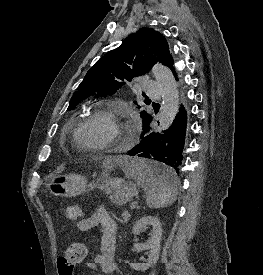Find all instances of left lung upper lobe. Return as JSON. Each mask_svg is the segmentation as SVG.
I'll use <instances>...</instances> for the list:
<instances>
[{
    "label": "left lung upper lobe",
    "mask_w": 263,
    "mask_h": 275,
    "mask_svg": "<svg viewBox=\"0 0 263 275\" xmlns=\"http://www.w3.org/2000/svg\"><path fill=\"white\" fill-rule=\"evenodd\" d=\"M171 61L165 37L154 29L141 28L90 68L71 98L68 109H75L91 95L115 94L126 81L149 72L156 62L169 66ZM141 118L145 123L150 116L142 111Z\"/></svg>",
    "instance_id": "1"
}]
</instances>
